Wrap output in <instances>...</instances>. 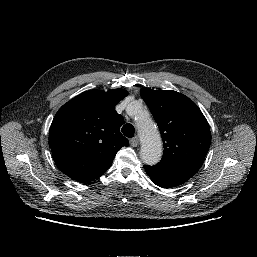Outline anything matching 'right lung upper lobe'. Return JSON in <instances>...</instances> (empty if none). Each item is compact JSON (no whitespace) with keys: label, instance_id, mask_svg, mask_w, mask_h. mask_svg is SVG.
Listing matches in <instances>:
<instances>
[{"label":"right lung upper lobe","instance_id":"right-lung-upper-lobe-1","mask_svg":"<svg viewBox=\"0 0 257 257\" xmlns=\"http://www.w3.org/2000/svg\"><path fill=\"white\" fill-rule=\"evenodd\" d=\"M127 95L123 89L89 90L58 110L49 146L64 174L80 183L93 181L110 168L118 150L128 146L120 133L124 119L115 110Z\"/></svg>","mask_w":257,"mask_h":257}]
</instances>
